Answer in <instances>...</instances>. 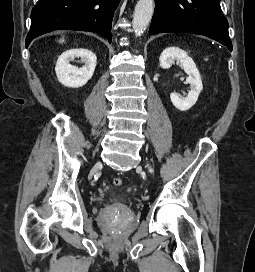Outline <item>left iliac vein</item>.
<instances>
[{
	"instance_id": "obj_1",
	"label": "left iliac vein",
	"mask_w": 255,
	"mask_h": 272,
	"mask_svg": "<svg viewBox=\"0 0 255 272\" xmlns=\"http://www.w3.org/2000/svg\"><path fill=\"white\" fill-rule=\"evenodd\" d=\"M147 166H148L149 171L152 172V168L150 167V165L148 164Z\"/></svg>"
}]
</instances>
